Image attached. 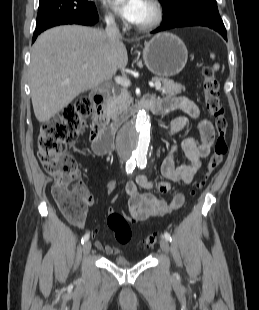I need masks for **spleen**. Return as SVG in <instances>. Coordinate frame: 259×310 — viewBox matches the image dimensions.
I'll return each instance as SVG.
<instances>
[{
  "label": "spleen",
  "instance_id": "spleen-1",
  "mask_svg": "<svg viewBox=\"0 0 259 310\" xmlns=\"http://www.w3.org/2000/svg\"><path fill=\"white\" fill-rule=\"evenodd\" d=\"M210 57H211L212 59H214V58H215V55L212 53V54L210 55ZM213 68H214L215 70H218V69H219V64H215Z\"/></svg>",
  "mask_w": 259,
  "mask_h": 310
}]
</instances>
